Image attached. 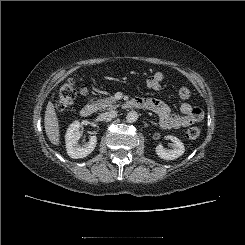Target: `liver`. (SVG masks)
Masks as SVG:
<instances>
[{"label":"liver","instance_id":"6515ba94","mask_svg":"<svg viewBox=\"0 0 245 245\" xmlns=\"http://www.w3.org/2000/svg\"><path fill=\"white\" fill-rule=\"evenodd\" d=\"M55 93L52 95V99L54 98ZM44 126L48 139L53 145H59L60 143V131H59V121L57 118V114L54 108V105L51 101L48 102L45 118H44Z\"/></svg>","mask_w":245,"mask_h":245}]
</instances>
